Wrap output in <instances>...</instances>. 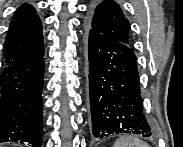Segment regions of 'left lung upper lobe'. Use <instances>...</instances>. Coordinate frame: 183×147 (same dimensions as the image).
I'll use <instances>...</instances> for the list:
<instances>
[{
  "instance_id": "5c2ea615",
  "label": "left lung upper lobe",
  "mask_w": 183,
  "mask_h": 147,
  "mask_svg": "<svg viewBox=\"0 0 183 147\" xmlns=\"http://www.w3.org/2000/svg\"><path fill=\"white\" fill-rule=\"evenodd\" d=\"M88 30L96 31L118 42L130 46V23L120 6L113 0H104L87 20Z\"/></svg>"
}]
</instances>
